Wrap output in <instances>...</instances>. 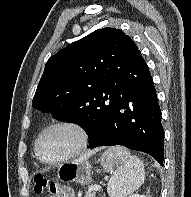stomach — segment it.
Returning a JSON list of instances; mask_svg holds the SVG:
<instances>
[{
  "label": "stomach",
  "instance_id": "0dacf381",
  "mask_svg": "<svg viewBox=\"0 0 191 197\" xmlns=\"http://www.w3.org/2000/svg\"><path fill=\"white\" fill-rule=\"evenodd\" d=\"M104 168L110 169L115 164V159L109 156L108 150L101 157ZM58 178L62 182H76L81 185L88 184L91 180V166L88 160H75L58 169Z\"/></svg>",
  "mask_w": 191,
  "mask_h": 197
}]
</instances>
